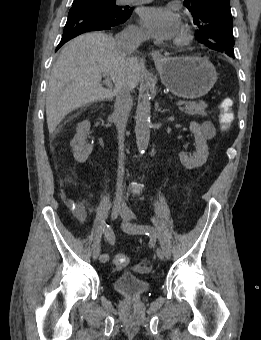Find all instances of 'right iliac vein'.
Returning a JSON list of instances; mask_svg holds the SVG:
<instances>
[{"instance_id": "right-iliac-vein-1", "label": "right iliac vein", "mask_w": 261, "mask_h": 340, "mask_svg": "<svg viewBox=\"0 0 261 340\" xmlns=\"http://www.w3.org/2000/svg\"><path fill=\"white\" fill-rule=\"evenodd\" d=\"M121 210H122L121 204L119 202H114L111 208L112 220L116 219L119 216V214L121 213ZM100 253H101V247L98 245L92 251V260L96 261L99 258Z\"/></svg>"}]
</instances>
